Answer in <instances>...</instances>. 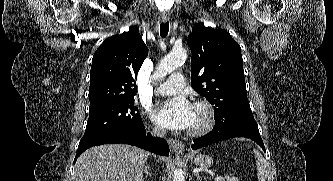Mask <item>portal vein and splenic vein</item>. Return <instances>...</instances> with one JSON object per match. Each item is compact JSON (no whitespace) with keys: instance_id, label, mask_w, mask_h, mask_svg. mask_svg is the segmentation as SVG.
Segmentation results:
<instances>
[{"instance_id":"18ae733b","label":"portal vein and splenic vein","mask_w":333,"mask_h":181,"mask_svg":"<svg viewBox=\"0 0 333 181\" xmlns=\"http://www.w3.org/2000/svg\"><path fill=\"white\" fill-rule=\"evenodd\" d=\"M214 180L215 181H223V177H215Z\"/></svg>"}]
</instances>
